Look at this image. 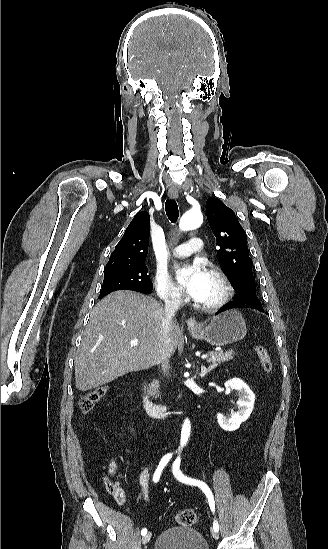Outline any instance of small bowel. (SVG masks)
<instances>
[{"label":"small bowel","instance_id":"c3829d8e","mask_svg":"<svg viewBox=\"0 0 328 549\" xmlns=\"http://www.w3.org/2000/svg\"><path fill=\"white\" fill-rule=\"evenodd\" d=\"M108 473L112 476L116 475L119 470V464L116 460L111 459L107 467ZM149 468L145 467L139 475V483L141 487V495L144 500L148 497V484H149ZM105 485L108 492L113 496L114 500L119 505H125L127 503V496L124 490V481L117 480L116 482H111L110 480H105Z\"/></svg>","mask_w":328,"mask_h":549}]
</instances>
